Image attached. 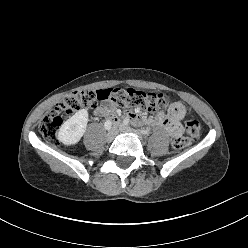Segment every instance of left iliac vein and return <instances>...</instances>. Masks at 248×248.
I'll list each match as a JSON object with an SVG mask.
<instances>
[{
  "label": "left iliac vein",
  "mask_w": 248,
  "mask_h": 248,
  "mask_svg": "<svg viewBox=\"0 0 248 248\" xmlns=\"http://www.w3.org/2000/svg\"><path fill=\"white\" fill-rule=\"evenodd\" d=\"M119 131H121V132H129V133L138 134L137 131L133 130V129L130 128V127L125 126L124 124H121V125L119 126Z\"/></svg>",
  "instance_id": "1"
}]
</instances>
